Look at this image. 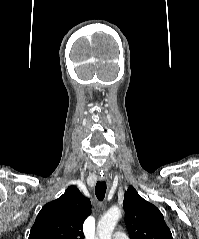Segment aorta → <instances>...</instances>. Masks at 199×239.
<instances>
[{"label": "aorta", "instance_id": "aorta-1", "mask_svg": "<svg viewBox=\"0 0 199 239\" xmlns=\"http://www.w3.org/2000/svg\"><path fill=\"white\" fill-rule=\"evenodd\" d=\"M121 218V210L111 207L98 222L97 234L99 239H111L113 230Z\"/></svg>", "mask_w": 199, "mask_h": 239}]
</instances>
